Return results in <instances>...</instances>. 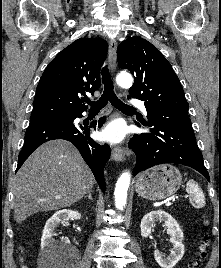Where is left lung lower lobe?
<instances>
[{
    "instance_id": "1",
    "label": "left lung lower lobe",
    "mask_w": 221,
    "mask_h": 268,
    "mask_svg": "<svg viewBox=\"0 0 221 268\" xmlns=\"http://www.w3.org/2000/svg\"><path fill=\"white\" fill-rule=\"evenodd\" d=\"M147 118L142 124L152 127L150 133L135 134L128 144L137 157L134 175L158 164L177 163L194 168L210 181L188 112L147 109Z\"/></svg>"
}]
</instances>
